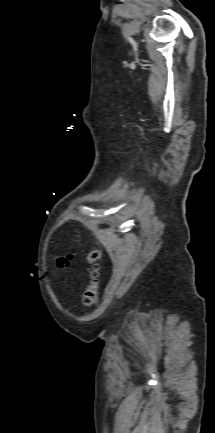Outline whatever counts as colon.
<instances>
[{"label": "colon", "instance_id": "colon-1", "mask_svg": "<svg viewBox=\"0 0 215 433\" xmlns=\"http://www.w3.org/2000/svg\"><path fill=\"white\" fill-rule=\"evenodd\" d=\"M100 260L101 251L92 250L87 257V285L82 295V304L85 311H89L96 303L99 293L100 284ZM56 265L65 269L71 265L72 256L64 255L58 256L55 259Z\"/></svg>", "mask_w": 215, "mask_h": 433}]
</instances>
